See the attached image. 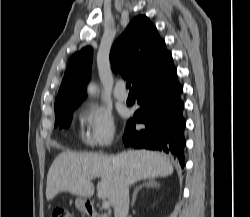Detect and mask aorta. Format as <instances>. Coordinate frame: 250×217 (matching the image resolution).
Returning a JSON list of instances; mask_svg holds the SVG:
<instances>
[{
    "label": "aorta",
    "instance_id": "1",
    "mask_svg": "<svg viewBox=\"0 0 250 217\" xmlns=\"http://www.w3.org/2000/svg\"><path fill=\"white\" fill-rule=\"evenodd\" d=\"M98 88L94 83H91L88 87V94L90 96H94L97 92Z\"/></svg>",
    "mask_w": 250,
    "mask_h": 217
}]
</instances>
